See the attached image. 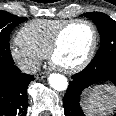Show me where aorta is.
Instances as JSON below:
<instances>
[{
    "label": "aorta",
    "instance_id": "1",
    "mask_svg": "<svg viewBox=\"0 0 116 116\" xmlns=\"http://www.w3.org/2000/svg\"><path fill=\"white\" fill-rule=\"evenodd\" d=\"M48 82L50 86L57 91H64L68 87V80L62 74L58 73L50 74Z\"/></svg>",
    "mask_w": 116,
    "mask_h": 116
}]
</instances>
